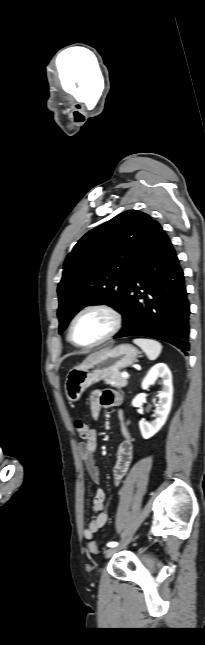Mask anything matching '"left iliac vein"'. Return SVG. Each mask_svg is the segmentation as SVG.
<instances>
[{"instance_id":"1","label":"left iliac vein","mask_w":205,"mask_h":645,"mask_svg":"<svg viewBox=\"0 0 205 645\" xmlns=\"http://www.w3.org/2000/svg\"><path fill=\"white\" fill-rule=\"evenodd\" d=\"M132 537H133L132 535L129 536L126 539L125 543L121 547H112V548H109V549L105 550L104 551L105 557L108 558V557L112 556L114 553H116L117 551H119L121 548L125 547L131 541Z\"/></svg>"}]
</instances>
